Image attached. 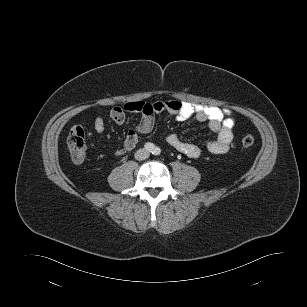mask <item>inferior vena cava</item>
<instances>
[{
    "label": "inferior vena cava",
    "mask_w": 307,
    "mask_h": 307,
    "mask_svg": "<svg viewBox=\"0 0 307 307\" xmlns=\"http://www.w3.org/2000/svg\"><path fill=\"white\" fill-rule=\"evenodd\" d=\"M150 153L149 151L145 149H139L135 153V159L136 160H145L149 157Z\"/></svg>",
    "instance_id": "obj_1"
}]
</instances>
